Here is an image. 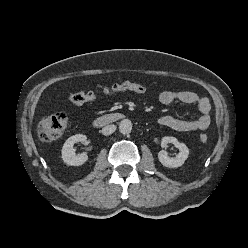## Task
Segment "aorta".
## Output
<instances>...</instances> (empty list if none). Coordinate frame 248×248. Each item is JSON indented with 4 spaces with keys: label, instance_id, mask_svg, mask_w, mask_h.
Segmentation results:
<instances>
[{
    "label": "aorta",
    "instance_id": "aorta-1",
    "mask_svg": "<svg viewBox=\"0 0 248 248\" xmlns=\"http://www.w3.org/2000/svg\"><path fill=\"white\" fill-rule=\"evenodd\" d=\"M132 130V122L129 119H123L119 123V131L122 134H129Z\"/></svg>",
    "mask_w": 248,
    "mask_h": 248
}]
</instances>
